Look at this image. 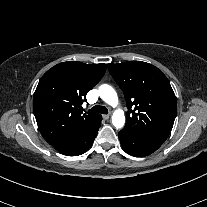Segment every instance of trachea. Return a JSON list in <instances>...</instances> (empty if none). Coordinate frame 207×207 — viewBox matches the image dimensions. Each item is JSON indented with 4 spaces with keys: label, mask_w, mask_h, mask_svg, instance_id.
<instances>
[{
    "label": "trachea",
    "mask_w": 207,
    "mask_h": 207,
    "mask_svg": "<svg viewBox=\"0 0 207 207\" xmlns=\"http://www.w3.org/2000/svg\"><path fill=\"white\" fill-rule=\"evenodd\" d=\"M90 113H101L108 114V110L105 106L96 105L92 109L89 110Z\"/></svg>",
    "instance_id": "trachea-1"
}]
</instances>
